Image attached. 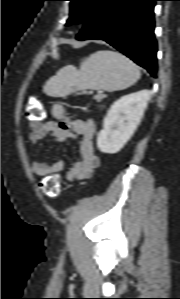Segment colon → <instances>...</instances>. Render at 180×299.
Returning <instances> with one entry per match:
<instances>
[{
  "mask_svg": "<svg viewBox=\"0 0 180 299\" xmlns=\"http://www.w3.org/2000/svg\"><path fill=\"white\" fill-rule=\"evenodd\" d=\"M46 112L37 100H32L28 104L27 115L31 119L43 120ZM40 187L43 193L50 197H57L61 192V179L58 175H49L42 179Z\"/></svg>",
  "mask_w": 180,
  "mask_h": 299,
  "instance_id": "colon-1",
  "label": "colon"
}]
</instances>
